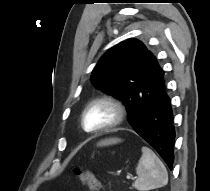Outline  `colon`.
I'll list each match as a JSON object with an SVG mask.
<instances>
[{"label": "colon", "instance_id": "colon-1", "mask_svg": "<svg viewBox=\"0 0 210 191\" xmlns=\"http://www.w3.org/2000/svg\"><path fill=\"white\" fill-rule=\"evenodd\" d=\"M75 173L79 181L90 191H97L99 189V180L91 171L77 168Z\"/></svg>", "mask_w": 210, "mask_h": 191}]
</instances>
